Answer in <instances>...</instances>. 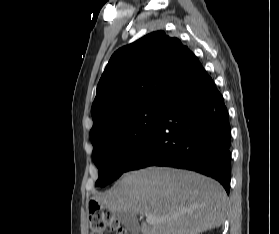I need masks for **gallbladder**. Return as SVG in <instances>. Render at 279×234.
<instances>
[{
  "label": "gallbladder",
  "mask_w": 279,
  "mask_h": 234,
  "mask_svg": "<svg viewBox=\"0 0 279 234\" xmlns=\"http://www.w3.org/2000/svg\"><path fill=\"white\" fill-rule=\"evenodd\" d=\"M117 217L126 229L131 231L133 234H138V222L134 214L130 212H119L117 213Z\"/></svg>",
  "instance_id": "bac80fb5"
}]
</instances>
